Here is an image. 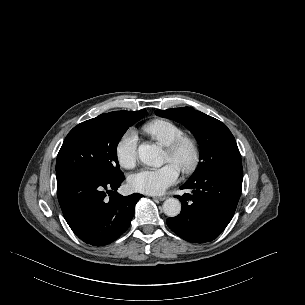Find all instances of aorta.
<instances>
[{
	"label": "aorta",
	"instance_id": "762f6f07",
	"mask_svg": "<svg viewBox=\"0 0 305 305\" xmlns=\"http://www.w3.org/2000/svg\"><path fill=\"white\" fill-rule=\"evenodd\" d=\"M138 156L141 162L148 166L160 167L164 163V152L156 144H141L138 148ZM163 212L169 217L180 214L181 203L176 198H169L163 203Z\"/></svg>",
	"mask_w": 305,
	"mask_h": 305
}]
</instances>
